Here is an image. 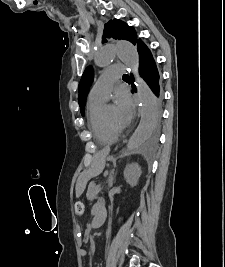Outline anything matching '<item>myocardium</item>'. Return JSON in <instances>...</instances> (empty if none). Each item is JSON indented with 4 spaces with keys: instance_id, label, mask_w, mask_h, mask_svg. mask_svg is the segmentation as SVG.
Returning a JSON list of instances; mask_svg holds the SVG:
<instances>
[{
    "instance_id": "1",
    "label": "myocardium",
    "mask_w": 225,
    "mask_h": 267,
    "mask_svg": "<svg viewBox=\"0 0 225 267\" xmlns=\"http://www.w3.org/2000/svg\"><path fill=\"white\" fill-rule=\"evenodd\" d=\"M103 120L104 123L106 125V127L108 128V130L116 135H118L121 132V129L118 127L113 126L105 117V114H103Z\"/></svg>"
}]
</instances>
